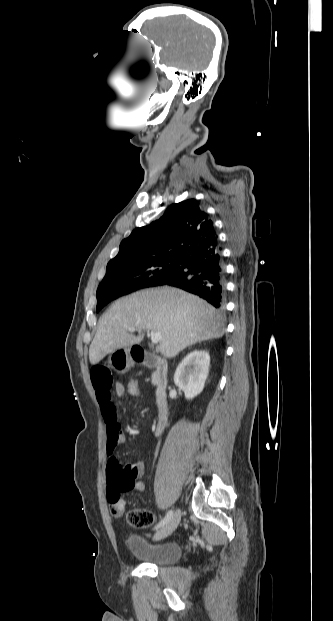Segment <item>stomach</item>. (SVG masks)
Instances as JSON below:
<instances>
[{"label":"stomach","instance_id":"0dacf381","mask_svg":"<svg viewBox=\"0 0 333 621\" xmlns=\"http://www.w3.org/2000/svg\"><path fill=\"white\" fill-rule=\"evenodd\" d=\"M111 357H112L111 361L114 366L115 364H118V363L126 366L131 362L130 348H121V347L117 348L113 351Z\"/></svg>","mask_w":333,"mask_h":621}]
</instances>
